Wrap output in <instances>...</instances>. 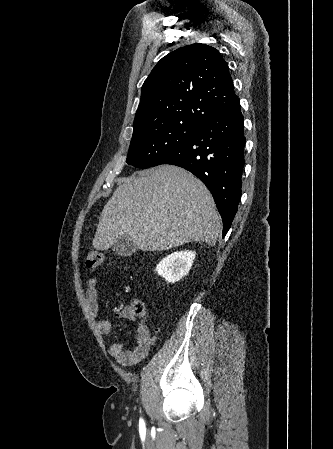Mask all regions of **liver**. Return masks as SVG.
Segmentation results:
<instances>
[{"mask_svg": "<svg viewBox=\"0 0 333 449\" xmlns=\"http://www.w3.org/2000/svg\"><path fill=\"white\" fill-rule=\"evenodd\" d=\"M220 231L221 217L207 187L188 171L163 165L122 179L102 210L92 244L108 250L127 237L143 251L193 241L213 246Z\"/></svg>", "mask_w": 333, "mask_h": 449, "instance_id": "6515ba94", "label": "liver"}]
</instances>
